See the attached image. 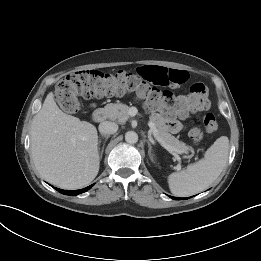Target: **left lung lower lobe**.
I'll list each match as a JSON object with an SVG mask.
<instances>
[{
	"label": "left lung lower lobe",
	"mask_w": 261,
	"mask_h": 261,
	"mask_svg": "<svg viewBox=\"0 0 261 261\" xmlns=\"http://www.w3.org/2000/svg\"><path fill=\"white\" fill-rule=\"evenodd\" d=\"M171 198L175 200H181V198H177V197H171Z\"/></svg>",
	"instance_id": "0a47b994"
}]
</instances>
